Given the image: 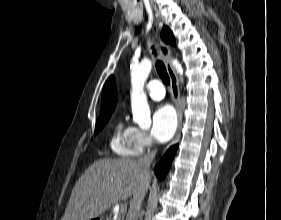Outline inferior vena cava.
I'll list each match as a JSON object with an SVG mask.
<instances>
[{
    "label": "inferior vena cava",
    "instance_id": "obj_1",
    "mask_svg": "<svg viewBox=\"0 0 281 220\" xmlns=\"http://www.w3.org/2000/svg\"><path fill=\"white\" fill-rule=\"evenodd\" d=\"M156 153L157 149H153L138 160V163L142 167L146 177H149L150 175V165L153 159L155 158ZM148 187L149 182L143 179L140 186L133 193V198L130 201V207L128 210L126 220H137L142 201L144 199Z\"/></svg>",
    "mask_w": 281,
    "mask_h": 220
}]
</instances>
